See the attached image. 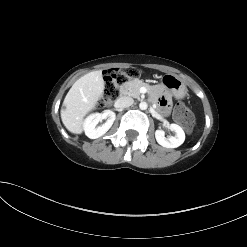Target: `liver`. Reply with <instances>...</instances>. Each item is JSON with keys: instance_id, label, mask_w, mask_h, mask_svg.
I'll list each match as a JSON object with an SVG mask.
<instances>
[{"instance_id": "1", "label": "liver", "mask_w": 247, "mask_h": 247, "mask_svg": "<svg viewBox=\"0 0 247 247\" xmlns=\"http://www.w3.org/2000/svg\"><path fill=\"white\" fill-rule=\"evenodd\" d=\"M104 87L101 70L89 72L73 84L63 101L65 108L61 110V119L68 131L82 133L84 117L96 107Z\"/></svg>"}]
</instances>
